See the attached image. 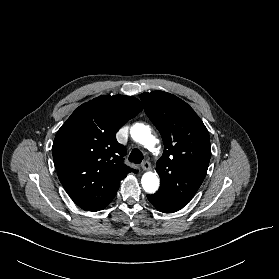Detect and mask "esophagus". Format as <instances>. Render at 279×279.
<instances>
[{"instance_id": "34e87169", "label": "esophagus", "mask_w": 279, "mask_h": 279, "mask_svg": "<svg viewBox=\"0 0 279 279\" xmlns=\"http://www.w3.org/2000/svg\"><path fill=\"white\" fill-rule=\"evenodd\" d=\"M141 168L144 170V171H149L151 169V164L148 162V161H144L142 164H141Z\"/></svg>"}]
</instances>
